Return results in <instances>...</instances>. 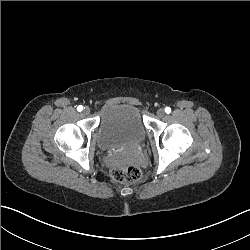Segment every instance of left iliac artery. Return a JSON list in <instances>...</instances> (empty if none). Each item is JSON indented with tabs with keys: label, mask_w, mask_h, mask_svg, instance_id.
I'll list each match as a JSON object with an SVG mask.
<instances>
[{
	"label": "left iliac artery",
	"mask_w": 250,
	"mask_h": 250,
	"mask_svg": "<svg viewBox=\"0 0 250 250\" xmlns=\"http://www.w3.org/2000/svg\"><path fill=\"white\" fill-rule=\"evenodd\" d=\"M165 112H166L167 114H169V113L171 112V108H170V107H166V108H165Z\"/></svg>",
	"instance_id": "obj_1"
}]
</instances>
